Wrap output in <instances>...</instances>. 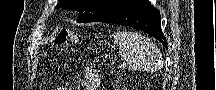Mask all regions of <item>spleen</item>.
I'll use <instances>...</instances> for the list:
<instances>
[{
    "label": "spleen",
    "instance_id": "1",
    "mask_svg": "<svg viewBox=\"0 0 216 90\" xmlns=\"http://www.w3.org/2000/svg\"><path fill=\"white\" fill-rule=\"evenodd\" d=\"M119 56L130 70L149 72L159 64L160 54L150 38L138 32H118L114 36Z\"/></svg>",
    "mask_w": 216,
    "mask_h": 90
}]
</instances>
